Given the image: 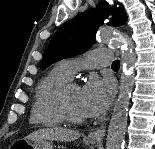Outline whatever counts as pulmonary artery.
Segmentation results:
<instances>
[{"label": "pulmonary artery", "mask_w": 155, "mask_h": 149, "mask_svg": "<svg viewBox=\"0 0 155 149\" xmlns=\"http://www.w3.org/2000/svg\"><path fill=\"white\" fill-rule=\"evenodd\" d=\"M112 58L110 49H93L81 56L64 59L58 66L69 78H72L81 69L108 66L112 63Z\"/></svg>", "instance_id": "e3ab8cb5"}]
</instances>
